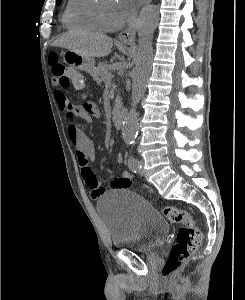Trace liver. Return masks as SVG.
I'll return each mask as SVG.
<instances>
[{
	"instance_id": "liver-1",
	"label": "liver",
	"mask_w": 245,
	"mask_h": 300,
	"mask_svg": "<svg viewBox=\"0 0 245 300\" xmlns=\"http://www.w3.org/2000/svg\"><path fill=\"white\" fill-rule=\"evenodd\" d=\"M53 46L72 50L85 57H105L111 52L113 41L99 33H65L56 39Z\"/></svg>"
}]
</instances>
